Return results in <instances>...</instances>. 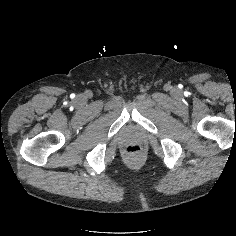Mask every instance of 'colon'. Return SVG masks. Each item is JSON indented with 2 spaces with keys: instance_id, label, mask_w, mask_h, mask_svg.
Listing matches in <instances>:
<instances>
[{
  "instance_id": "colon-1",
  "label": "colon",
  "mask_w": 236,
  "mask_h": 236,
  "mask_svg": "<svg viewBox=\"0 0 236 236\" xmlns=\"http://www.w3.org/2000/svg\"><path fill=\"white\" fill-rule=\"evenodd\" d=\"M141 148L139 146H135V145H132V146H128L126 148V153L129 155V156H134V157H138L141 155Z\"/></svg>"
}]
</instances>
